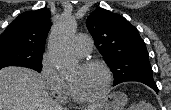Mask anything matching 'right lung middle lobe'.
Wrapping results in <instances>:
<instances>
[{"mask_svg": "<svg viewBox=\"0 0 171 110\" xmlns=\"http://www.w3.org/2000/svg\"><path fill=\"white\" fill-rule=\"evenodd\" d=\"M43 52L12 43L0 44V69L7 66H24L38 72L42 69Z\"/></svg>", "mask_w": 171, "mask_h": 110, "instance_id": "dd1d6c3e", "label": "right lung middle lobe"}]
</instances>
